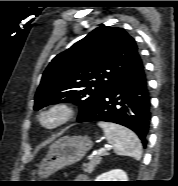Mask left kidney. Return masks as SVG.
Returning <instances> with one entry per match:
<instances>
[{
	"label": "left kidney",
	"mask_w": 178,
	"mask_h": 186,
	"mask_svg": "<svg viewBox=\"0 0 178 186\" xmlns=\"http://www.w3.org/2000/svg\"><path fill=\"white\" fill-rule=\"evenodd\" d=\"M127 178L126 172L115 169L99 175L95 181H128Z\"/></svg>",
	"instance_id": "left-kidney-1"
}]
</instances>
